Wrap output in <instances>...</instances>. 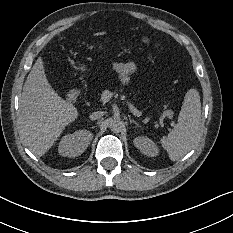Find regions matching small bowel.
I'll list each match as a JSON object with an SVG mask.
<instances>
[{"mask_svg":"<svg viewBox=\"0 0 233 233\" xmlns=\"http://www.w3.org/2000/svg\"><path fill=\"white\" fill-rule=\"evenodd\" d=\"M113 67L118 73L122 84L125 86L129 85L131 77L138 72L134 62H116Z\"/></svg>","mask_w":233,"mask_h":233,"instance_id":"obj_1","label":"small bowel"}]
</instances>
